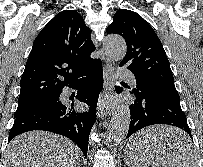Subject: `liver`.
Returning a JSON list of instances; mask_svg holds the SVG:
<instances>
[{
    "label": "liver",
    "mask_w": 203,
    "mask_h": 167,
    "mask_svg": "<svg viewBox=\"0 0 203 167\" xmlns=\"http://www.w3.org/2000/svg\"><path fill=\"white\" fill-rule=\"evenodd\" d=\"M187 138L179 129L154 126L137 133L129 144L142 147L146 142H154L159 157L173 163L187 159L190 146L186 149L178 146L188 141ZM79 160L78 148L69 139L45 131H32L15 137L9 143L4 167H77Z\"/></svg>",
    "instance_id": "6515ba94"
}]
</instances>
